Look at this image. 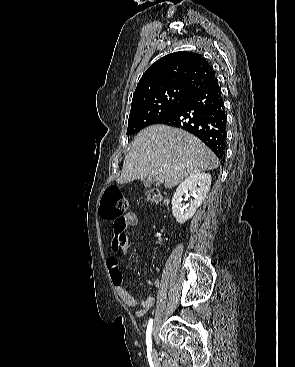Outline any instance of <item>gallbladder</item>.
<instances>
[{
	"mask_svg": "<svg viewBox=\"0 0 295 367\" xmlns=\"http://www.w3.org/2000/svg\"><path fill=\"white\" fill-rule=\"evenodd\" d=\"M142 182H143V184H144L146 187H150L152 184L156 183V180H154V179H149V178H144V179H142Z\"/></svg>",
	"mask_w": 295,
	"mask_h": 367,
	"instance_id": "gallbladder-1",
	"label": "gallbladder"
}]
</instances>
